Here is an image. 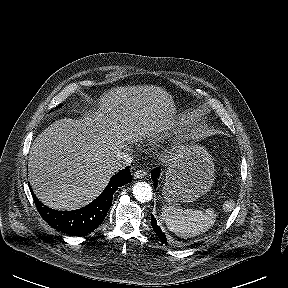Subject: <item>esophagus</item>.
Returning <instances> with one entry per match:
<instances>
[{
	"mask_svg": "<svg viewBox=\"0 0 288 288\" xmlns=\"http://www.w3.org/2000/svg\"><path fill=\"white\" fill-rule=\"evenodd\" d=\"M146 175H147V172L145 170H143V169H139V170L135 171V173H134V177L136 179H142Z\"/></svg>",
	"mask_w": 288,
	"mask_h": 288,
	"instance_id": "esophagus-1",
	"label": "esophagus"
}]
</instances>
